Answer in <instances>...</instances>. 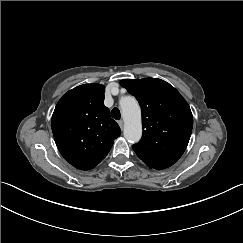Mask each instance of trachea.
Listing matches in <instances>:
<instances>
[{"mask_svg":"<svg viewBox=\"0 0 243 243\" xmlns=\"http://www.w3.org/2000/svg\"><path fill=\"white\" fill-rule=\"evenodd\" d=\"M111 116H112L114 119L119 120L120 117H121L120 110H119L117 107H115V108L112 110V112H111Z\"/></svg>","mask_w":243,"mask_h":243,"instance_id":"1","label":"trachea"}]
</instances>
